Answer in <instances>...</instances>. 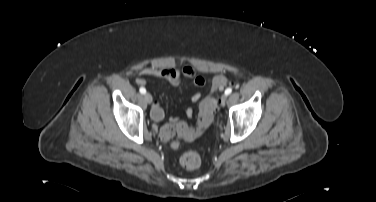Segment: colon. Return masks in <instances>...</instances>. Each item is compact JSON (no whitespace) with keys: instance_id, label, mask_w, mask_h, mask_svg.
Listing matches in <instances>:
<instances>
[{"instance_id":"obj_1","label":"colon","mask_w":376,"mask_h":202,"mask_svg":"<svg viewBox=\"0 0 376 202\" xmlns=\"http://www.w3.org/2000/svg\"><path fill=\"white\" fill-rule=\"evenodd\" d=\"M229 80L224 75L216 76L211 83V93L200 103L197 118V130L202 132L206 130L213 122V115L217 108V98L215 93L221 91ZM191 132L184 123L168 124L161 128L160 136L168 141L172 147L178 146V138L188 137ZM200 156L198 152L191 150L183 154L180 158L181 165L186 169H195L200 165Z\"/></svg>"}]
</instances>
